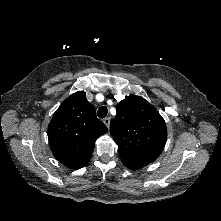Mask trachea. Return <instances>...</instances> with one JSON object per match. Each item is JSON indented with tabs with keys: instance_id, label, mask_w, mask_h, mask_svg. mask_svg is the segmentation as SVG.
Masks as SVG:
<instances>
[{
	"instance_id": "trachea-1",
	"label": "trachea",
	"mask_w": 221,
	"mask_h": 221,
	"mask_svg": "<svg viewBox=\"0 0 221 221\" xmlns=\"http://www.w3.org/2000/svg\"><path fill=\"white\" fill-rule=\"evenodd\" d=\"M108 113V109L105 106H102L98 109L97 115L99 118H105Z\"/></svg>"
}]
</instances>
